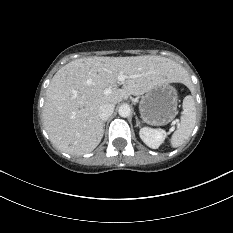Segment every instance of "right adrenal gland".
I'll return each mask as SVG.
<instances>
[{"label": "right adrenal gland", "mask_w": 233, "mask_h": 233, "mask_svg": "<svg viewBox=\"0 0 233 233\" xmlns=\"http://www.w3.org/2000/svg\"><path fill=\"white\" fill-rule=\"evenodd\" d=\"M105 122H106V121L103 122V128H105Z\"/></svg>", "instance_id": "right-adrenal-gland-1"}]
</instances>
